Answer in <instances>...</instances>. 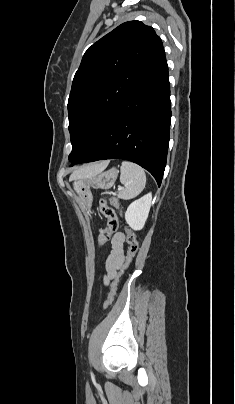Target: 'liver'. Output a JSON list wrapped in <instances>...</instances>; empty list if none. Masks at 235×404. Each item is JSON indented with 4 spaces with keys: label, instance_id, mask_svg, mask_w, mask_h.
Listing matches in <instances>:
<instances>
[{
    "label": "liver",
    "instance_id": "liver-1",
    "mask_svg": "<svg viewBox=\"0 0 235 404\" xmlns=\"http://www.w3.org/2000/svg\"><path fill=\"white\" fill-rule=\"evenodd\" d=\"M108 162L103 161L98 164H91V165H86L83 167H80L79 169L75 170L71 176L70 180H75V179H85L88 177H91L93 175L98 174L99 172L103 171L104 168L107 166Z\"/></svg>",
    "mask_w": 235,
    "mask_h": 404
}]
</instances>
